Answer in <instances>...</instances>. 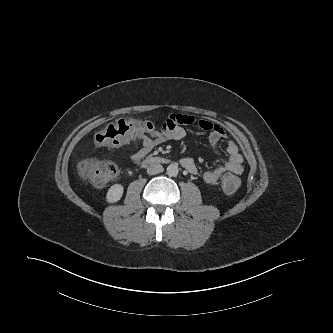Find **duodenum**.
Returning a JSON list of instances; mask_svg holds the SVG:
<instances>
[{"mask_svg": "<svg viewBox=\"0 0 333 333\" xmlns=\"http://www.w3.org/2000/svg\"><path fill=\"white\" fill-rule=\"evenodd\" d=\"M164 162L163 158L160 157H149L145 160L146 164H151V163H162Z\"/></svg>", "mask_w": 333, "mask_h": 333, "instance_id": "410a0bca", "label": "duodenum"}]
</instances>
